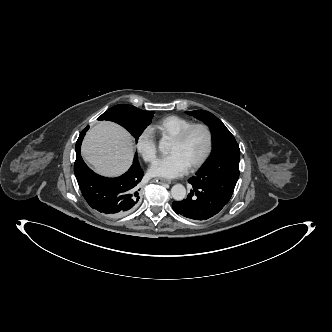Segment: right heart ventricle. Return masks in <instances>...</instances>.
<instances>
[{
    "mask_svg": "<svg viewBox=\"0 0 332 332\" xmlns=\"http://www.w3.org/2000/svg\"><path fill=\"white\" fill-rule=\"evenodd\" d=\"M192 123L191 119L179 115H169L158 120L150 129L160 137L173 138Z\"/></svg>",
    "mask_w": 332,
    "mask_h": 332,
    "instance_id": "obj_1",
    "label": "right heart ventricle"
}]
</instances>
